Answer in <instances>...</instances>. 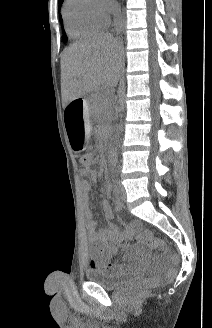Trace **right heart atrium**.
I'll return each mask as SVG.
<instances>
[{
	"mask_svg": "<svg viewBox=\"0 0 212 328\" xmlns=\"http://www.w3.org/2000/svg\"><path fill=\"white\" fill-rule=\"evenodd\" d=\"M94 11L106 21L114 10V4L111 0H91Z\"/></svg>",
	"mask_w": 212,
	"mask_h": 328,
	"instance_id": "right-heart-atrium-1",
	"label": "right heart atrium"
}]
</instances>
